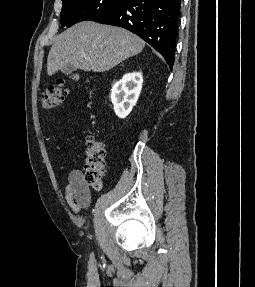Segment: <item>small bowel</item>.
Here are the masks:
<instances>
[{"instance_id":"small-bowel-1","label":"small bowel","mask_w":255,"mask_h":287,"mask_svg":"<svg viewBox=\"0 0 255 287\" xmlns=\"http://www.w3.org/2000/svg\"><path fill=\"white\" fill-rule=\"evenodd\" d=\"M90 189L80 170H72L68 175V183L64 188V197L70 209L79 213L90 201Z\"/></svg>"}]
</instances>
